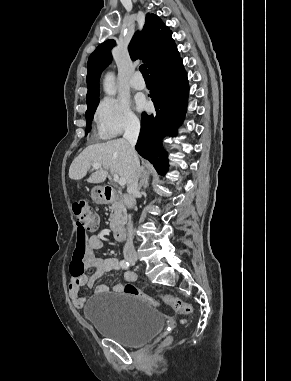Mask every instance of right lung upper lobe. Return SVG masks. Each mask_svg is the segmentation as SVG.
<instances>
[{
	"label": "right lung upper lobe",
	"mask_w": 291,
	"mask_h": 381,
	"mask_svg": "<svg viewBox=\"0 0 291 381\" xmlns=\"http://www.w3.org/2000/svg\"><path fill=\"white\" fill-rule=\"evenodd\" d=\"M171 30L164 25L157 15H146L143 31L136 32L129 44L132 60L142 59L149 71L177 51ZM115 40H107L99 45L88 60L87 104L99 97V78L101 72L111 62V49Z\"/></svg>",
	"instance_id": "cb5924a9"
}]
</instances>
